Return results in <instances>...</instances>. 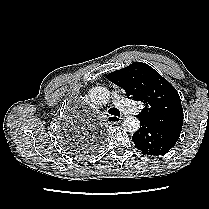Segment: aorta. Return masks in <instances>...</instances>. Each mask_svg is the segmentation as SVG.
<instances>
[{
  "instance_id": "obj_1",
  "label": "aorta",
  "mask_w": 209,
  "mask_h": 209,
  "mask_svg": "<svg viewBox=\"0 0 209 209\" xmlns=\"http://www.w3.org/2000/svg\"><path fill=\"white\" fill-rule=\"evenodd\" d=\"M89 99L93 104L104 105L110 99V91L101 86L93 87L89 90ZM123 128L128 132H136L140 128V121L137 117L128 116L123 120Z\"/></svg>"
}]
</instances>
